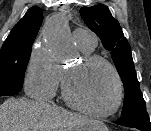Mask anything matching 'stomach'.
Here are the masks:
<instances>
[{
  "mask_svg": "<svg viewBox=\"0 0 151 131\" xmlns=\"http://www.w3.org/2000/svg\"><path fill=\"white\" fill-rule=\"evenodd\" d=\"M75 131H108L107 126L98 120H89L88 122L78 125Z\"/></svg>",
  "mask_w": 151,
  "mask_h": 131,
  "instance_id": "stomach-1",
  "label": "stomach"
}]
</instances>
